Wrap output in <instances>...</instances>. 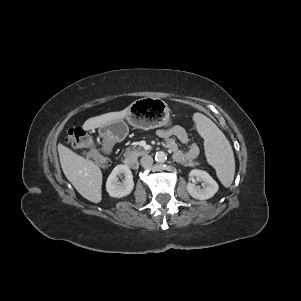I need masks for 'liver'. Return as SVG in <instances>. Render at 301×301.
<instances>
[{
	"label": "liver",
	"mask_w": 301,
	"mask_h": 301,
	"mask_svg": "<svg viewBox=\"0 0 301 301\" xmlns=\"http://www.w3.org/2000/svg\"><path fill=\"white\" fill-rule=\"evenodd\" d=\"M129 108L118 112H109L89 118L83 124L84 130L100 128L111 122L124 119ZM60 164L66 178L74 188L87 200L93 203L101 201L102 172L92 161L76 154L62 144L58 145Z\"/></svg>",
	"instance_id": "obj_1"
}]
</instances>
